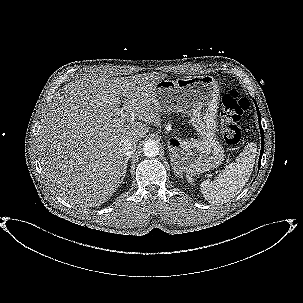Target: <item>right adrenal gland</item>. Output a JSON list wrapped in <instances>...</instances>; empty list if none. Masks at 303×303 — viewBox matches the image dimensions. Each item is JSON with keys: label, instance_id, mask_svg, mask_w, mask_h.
Listing matches in <instances>:
<instances>
[{"label": "right adrenal gland", "instance_id": "1", "mask_svg": "<svg viewBox=\"0 0 303 303\" xmlns=\"http://www.w3.org/2000/svg\"><path fill=\"white\" fill-rule=\"evenodd\" d=\"M130 157H126L124 160V168H123V173H122V178H121V182L123 181V179L125 178L126 172H127V163Z\"/></svg>", "mask_w": 303, "mask_h": 303}]
</instances>
